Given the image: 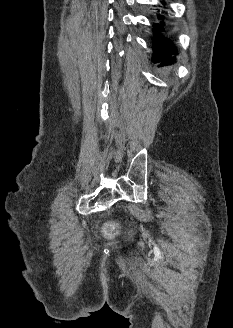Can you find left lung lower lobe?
Masks as SVG:
<instances>
[{"label":"left lung lower lobe","instance_id":"obj_1","mask_svg":"<svg viewBox=\"0 0 233 328\" xmlns=\"http://www.w3.org/2000/svg\"><path fill=\"white\" fill-rule=\"evenodd\" d=\"M158 19L163 20L164 17L158 16ZM163 25L164 22L162 21L160 22V24H155L156 28L154 30L155 38L153 42L154 43L153 49L156 53L153 57L154 62H159L169 58L171 55H176V49L171 43V41L161 35V31L164 30Z\"/></svg>","mask_w":233,"mask_h":328}]
</instances>
